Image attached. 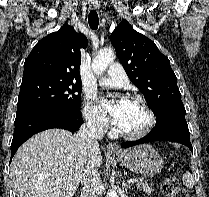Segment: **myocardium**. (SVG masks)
I'll use <instances>...</instances> for the list:
<instances>
[{
  "label": "myocardium",
  "mask_w": 209,
  "mask_h": 197,
  "mask_svg": "<svg viewBox=\"0 0 209 197\" xmlns=\"http://www.w3.org/2000/svg\"><path fill=\"white\" fill-rule=\"evenodd\" d=\"M133 100H134V102L139 103L143 107V109L145 110V112L147 114V122H146L145 126L138 131L127 132L119 127L117 132H118V134H120L124 138L130 139V140H137V139H141V138L145 137L146 135H148L151 132V130L153 129V127L156 123V117H155L153 110L149 107L148 103L146 102V100L144 98H142L140 96H136L133 98Z\"/></svg>",
  "instance_id": "1"
}]
</instances>
